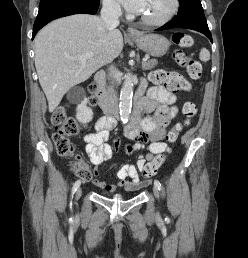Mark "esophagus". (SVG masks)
<instances>
[{
  "label": "esophagus",
  "instance_id": "obj_1",
  "mask_svg": "<svg viewBox=\"0 0 248 258\" xmlns=\"http://www.w3.org/2000/svg\"><path fill=\"white\" fill-rule=\"evenodd\" d=\"M127 34H128V35H139V31L136 30V29L133 28V27H128V28H127Z\"/></svg>",
  "mask_w": 248,
  "mask_h": 258
}]
</instances>
